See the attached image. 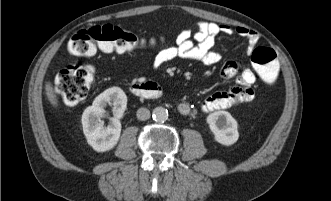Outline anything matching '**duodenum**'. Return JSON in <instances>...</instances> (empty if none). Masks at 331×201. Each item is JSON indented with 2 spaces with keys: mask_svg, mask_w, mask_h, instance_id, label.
<instances>
[{
  "mask_svg": "<svg viewBox=\"0 0 331 201\" xmlns=\"http://www.w3.org/2000/svg\"><path fill=\"white\" fill-rule=\"evenodd\" d=\"M129 91L145 99H158L162 96L161 89L154 83L133 82L129 85Z\"/></svg>",
  "mask_w": 331,
  "mask_h": 201,
  "instance_id": "obj_1",
  "label": "duodenum"
}]
</instances>
